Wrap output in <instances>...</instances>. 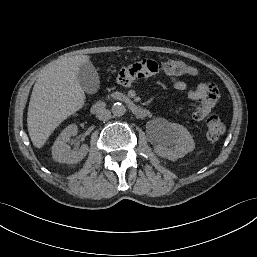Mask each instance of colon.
<instances>
[{"label":"colon","mask_w":257,"mask_h":257,"mask_svg":"<svg viewBox=\"0 0 257 257\" xmlns=\"http://www.w3.org/2000/svg\"><path fill=\"white\" fill-rule=\"evenodd\" d=\"M160 70L166 76L176 74L181 76H190L196 73V70L181 60H164L160 64ZM207 137L210 140H217L225 131L222 120L217 115H211L207 119Z\"/></svg>","instance_id":"obj_1"}]
</instances>
